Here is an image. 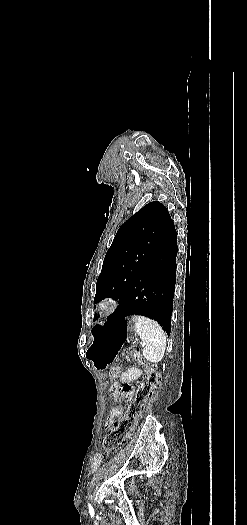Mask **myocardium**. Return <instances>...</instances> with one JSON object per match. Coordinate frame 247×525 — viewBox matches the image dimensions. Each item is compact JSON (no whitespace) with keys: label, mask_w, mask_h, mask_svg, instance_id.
<instances>
[{"label":"myocardium","mask_w":247,"mask_h":525,"mask_svg":"<svg viewBox=\"0 0 247 525\" xmlns=\"http://www.w3.org/2000/svg\"><path fill=\"white\" fill-rule=\"evenodd\" d=\"M117 305V298L109 295L101 298L97 303V309L99 312L104 313L113 310Z\"/></svg>","instance_id":"myocardium-1"}]
</instances>
